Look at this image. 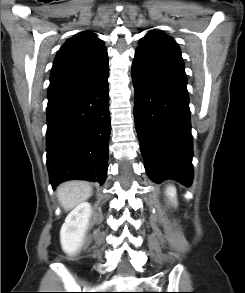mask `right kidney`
I'll use <instances>...</instances> for the list:
<instances>
[{"label": "right kidney", "instance_id": "right-kidney-1", "mask_svg": "<svg viewBox=\"0 0 245 293\" xmlns=\"http://www.w3.org/2000/svg\"><path fill=\"white\" fill-rule=\"evenodd\" d=\"M91 213L90 203L82 202L66 217L60 230V242L65 253L73 255L81 247Z\"/></svg>", "mask_w": 245, "mask_h": 293}]
</instances>
